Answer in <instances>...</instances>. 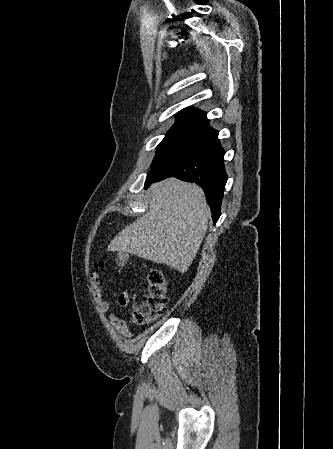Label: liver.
I'll return each instance as SVG.
<instances>
[{"label": "liver", "mask_w": 333, "mask_h": 449, "mask_svg": "<svg viewBox=\"0 0 333 449\" xmlns=\"http://www.w3.org/2000/svg\"><path fill=\"white\" fill-rule=\"evenodd\" d=\"M149 211L126 226L108 246L184 273L195 258L207 231L210 210L203 190L176 178L148 189Z\"/></svg>", "instance_id": "liver-1"}]
</instances>
